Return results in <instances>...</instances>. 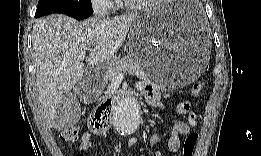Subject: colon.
I'll use <instances>...</instances> for the list:
<instances>
[{
    "label": "colon",
    "instance_id": "colon-1",
    "mask_svg": "<svg viewBox=\"0 0 261 156\" xmlns=\"http://www.w3.org/2000/svg\"><path fill=\"white\" fill-rule=\"evenodd\" d=\"M204 88V83L197 81L191 86V95L198 96ZM110 105L108 103L97 106L91 113L88 119V127L95 134L104 133L110 125ZM63 141L74 142L78 139V131L76 129L63 130L60 134ZM198 135L196 133L190 134L183 145V155L193 156L195 152Z\"/></svg>",
    "mask_w": 261,
    "mask_h": 156
}]
</instances>
